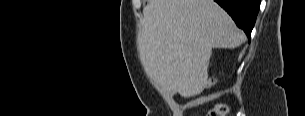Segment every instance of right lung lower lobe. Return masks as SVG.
<instances>
[{
  "mask_svg": "<svg viewBox=\"0 0 305 116\" xmlns=\"http://www.w3.org/2000/svg\"><path fill=\"white\" fill-rule=\"evenodd\" d=\"M235 21L236 25L243 29L248 40L251 39V31L254 27L259 12L260 0H214Z\"/></svg>",
  "mask_w": 305,
  "mask_h": 116,
  "instance_id": "right-lung-lower-lobe-1",
  "label": "right lung lower lobe"
}]
</instances>
